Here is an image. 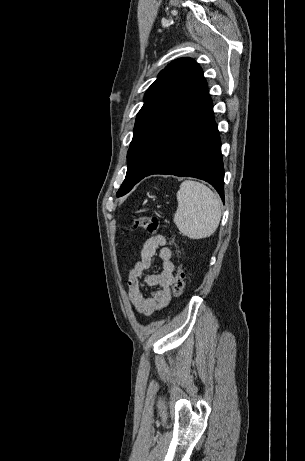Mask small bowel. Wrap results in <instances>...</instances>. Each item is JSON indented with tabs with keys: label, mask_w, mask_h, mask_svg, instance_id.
<instances>
[{
	"label": "small bowel",
	"mask_w": 305,
	"mask_h": 461,
	"mask_svg": "<svg viewBox=\"0 0 305 461\" xmlns=\"http://www.w3.org/2000/svg\"><path fill=\"white\" fill-rule=\"evenodd\" d=\"M139 253L140 260L128 274V295L134 309L139 314L149 316L169 303L175 265L172 261V251L162 235L149 237L139 246ZM156 254L161 260V270L151 272L150 268ZM146 287H154L156 290L147 295L144 291Z\"/></svg>",
	"instance_id": "1"
}]
</instances>
